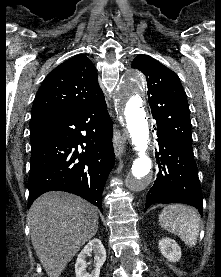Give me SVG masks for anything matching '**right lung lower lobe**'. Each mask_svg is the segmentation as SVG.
<instances>
[{"mask_svg": "<svg viewBox=\"0 0 221 277\" xmlns=\"http://www.w3.org/2000/svg\"><path fill=\"white\" fill-rule=\"evenodd\" d=\"M30 129L37 136L31 139L28 207L41 194L61 190L102 210V192L115 162L105 100L74 112L33 116Z\"/></svg>", "mask_w": 221, "mask_h": 277, "instance_id": "98d812e1", "label": "right lung lower lobe"}]
</instances>
